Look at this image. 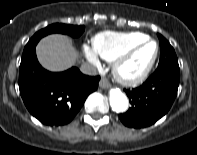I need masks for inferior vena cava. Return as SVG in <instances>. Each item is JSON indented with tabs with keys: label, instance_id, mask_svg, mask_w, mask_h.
Listing matches in <instances>:
<instances>
[{
	"label": "inferior vena cava",
	"instance_id": "1",
	"mask_svg": "<svg viewBox=\"0 0 197 155\" xmlns=\"http://www.w3.org/2000/svg\"><path fill=\"white\" fill-rule=\"evenodd\" d=\"M80 71L83 73V74H86V75H96L97 74V69L95 66H93L92 64L90 63H83L80 67Z\"/></svg>",
	"mask_w": 197,
	"mask_h": 155
}]
</instances>
